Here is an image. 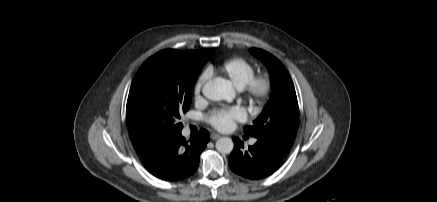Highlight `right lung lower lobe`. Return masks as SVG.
I'll return each mask as SVG.
<instances>
[{
    "instance_id": "98d812e1",
    "label": "right lung lower lobe",
    "mask_w": 437,
    "mask_h": 202,
    "mask_svg": "<svg viewBox=\"0 0 437 202\" xmlns=\"http://www.w3.org/2000/svg\"><path fill=\"white\" fill-rule=\"evenodd\" d=\"M210 136L201 129L190 142L180 133L173 135L142 157L146 169L165 181H178L193 175L198 168L199 155L206 148Z\"/></svg>"
}]
</instances>
